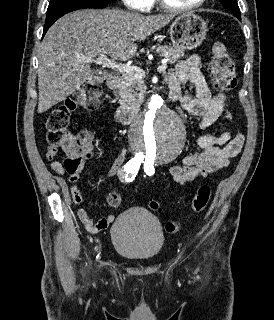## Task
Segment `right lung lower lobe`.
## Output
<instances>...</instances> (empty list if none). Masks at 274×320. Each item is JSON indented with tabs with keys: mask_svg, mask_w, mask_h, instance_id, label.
<instances>
[{
	"mask_svg": "<svg viewBox=\"0 0 274 320\" xmlns=\"http://www.w3.org/2000/svg\"><path fill=\"white\" fill-rule=\"evenodd\" d=\"M108 4L109 3H92V4L76 5V6L66 7V8L57 10L55 12H52L50 14H47L42 38L44 37L49 27L63 15L79 9H86V8L102 9V8H105Z\"/></svg>",
	"mask_w": 274,
	"mask_h": 320,
	"instance_id": "1",
	"label": "right lung lower lobe"
}]
</instances>
